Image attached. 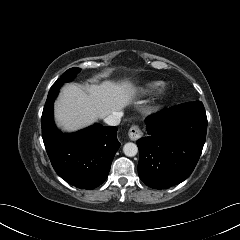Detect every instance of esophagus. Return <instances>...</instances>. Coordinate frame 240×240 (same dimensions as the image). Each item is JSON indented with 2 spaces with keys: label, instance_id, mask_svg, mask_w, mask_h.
Returning <instances> with one entry per match:
<instances>
[{
  "label": "esophagus",
  "instance_id": "1",
  "mask_svg": "<svg viewBox=\"0 0 240 240\" xmlns=\"http://www.w3.org/2000/svg\"><path fill=\"white\" fill-rule=\"evenodd\" d=\"M128 136L132 141H136L143 136V132L137 125H133L128 131Z\"/></svg>",
  "mask_w": 240,
  "mask_h": 240
}]
</instances>
